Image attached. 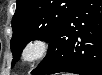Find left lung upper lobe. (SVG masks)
<instances>
[{
    "mask_svg": "<svg viewBox=\"0 0 102 75\" xmlns=\"http://www.w3.org/2000/svg\"><path fill=\"white\" fill-rule=\"evenodd\" d=\"M80 2L81 0H17L12 19V66L29 41L39 39L49 42Z\"/></svg>",
    "mask_w": 102,
    "mask_h": 75,
    "instance_id": "left-lung-upper-lobe-1",
    "label": "left lung upper lobe"
}]
</instances>
